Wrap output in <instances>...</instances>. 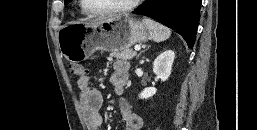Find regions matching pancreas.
<instances>
[{
	"label": "pancreas",
	"mask_w": 257,
	"mask_h": 130,
	"mask_svg": "<svg viewBox=\"0 0 257 130\" xmlns=\"http://www.w3.org/2000/svg\"><path fill=\"white\" fill-rule=\"evenodd\" d=\"M111 56H113L117 59L131 60L133 57L136 56V52L133 51V49L125 48V49H121L119 51L112 52Z\"/></svg>",
	"instance_id": "1"
}]
</instances>
